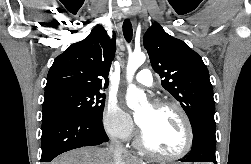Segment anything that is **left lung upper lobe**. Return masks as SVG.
<instances>
[{
  "mask_svg": "<svg viewBox=\"0 0 251 164\" xmlns=\"http://www.w3.org/2000/svg\"><path fill=\"white\" fill-rule=\"evenodd\" d=\"M143 44L162 86L180 102L192 130L203 123L215 126L213 88L202 58L157 23L147 30Z\"/></svg>",
  "mask_w": 251,
  "mask_h": 164,
  "instance_id": "left-lung-upper-lobe-1",
  "label": "left lung upper lobe"
}]
</instances>
